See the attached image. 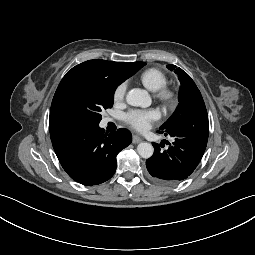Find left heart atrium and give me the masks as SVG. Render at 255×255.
Segmentation results:
<instances>
[{
	"mask_svg": "<svg viewBox=\"0 0 255 255\" xmlns=\"http://www.w3.org/2000/svg\"><path fill=\"white\" fill-rule=\"evenodd\" d=\"M159 118V113L155 109L150 110H131L125 115L128 125L138 131H145L150 128L152 123Z\"/></svg>",
	"mask_w": 255,
	"mask_h": 255,
	"instance_id": "1",
	"label": "left heart atrium"
}]
</instances>
